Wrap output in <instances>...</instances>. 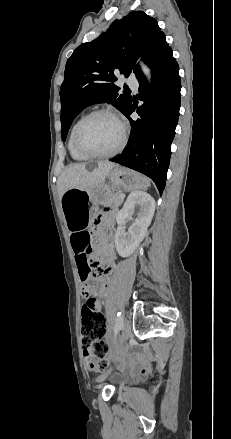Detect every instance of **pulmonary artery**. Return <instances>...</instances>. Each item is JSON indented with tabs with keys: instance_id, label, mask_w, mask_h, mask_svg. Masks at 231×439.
Masks as SVG:
<instances>
[{
	"instance_id": "e3ab8cb5",
	"label": "pulmonary artery",
	"mask_w": 231,
	"mask_h": 439,
	"mask_svg": "<svg viewBox=\"0 0 231 439\" xmlns=\"http://www.w3.org/2000/svg\"><path fill=\"white\" fill-rule=\"evenodd\" d=\"M127 85L136 89L138 87V81L134 76H129L126 80Z\"/></svg>"
}]
</instances>
